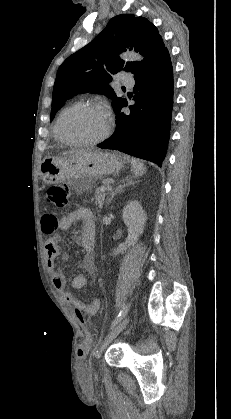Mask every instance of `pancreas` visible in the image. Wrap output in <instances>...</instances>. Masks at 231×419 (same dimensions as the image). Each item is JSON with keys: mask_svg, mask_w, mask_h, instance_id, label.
<instances>
[{"mask_svg": "<svg viewBox=\"0 0 231 419\" xmlns=\"http://www.w3.org/2000/svg\"><path fill=\"white\" fill-rule=\"evenodd\" d=\"M105 199V193L104 191H101V188H97L95 191V204L101 208L104 204ZM93 201V199H92Z\"/></svg>", "mask_w": 231, "mask_h": 419, "instance_id": "obj_1", "label": "pancreas"}]
</instances>
